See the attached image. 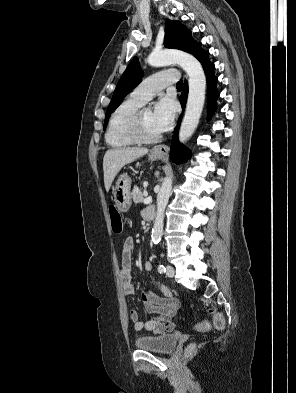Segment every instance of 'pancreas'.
Instances as JSON below:
<instances>
[{
	"mask_svg": "<svg viewBox=\"0 0 296 393\" xmlns=\"http://www.w3.org/2000/svg\"><path fill=\"white\" fill-rule=\"evenodd\" d=\"M145 195L141 192L139 187L135 186L132 191V198L135 204L142 203Z\"/></svg>",
	"mask_w": 296,
	"mask_h": 393,
	"instance_id": "cf45deb5",
	"label": "pancreas"
}]
</instances>
